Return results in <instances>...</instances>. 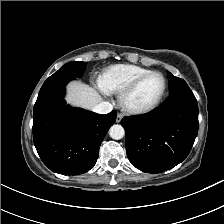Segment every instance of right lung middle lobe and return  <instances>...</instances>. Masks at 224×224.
I'll return each instance as SVG.
<instances>
[{
  "label": "right lung middle lobe",
  "instance_id": "1",
  "mask_svg": "<svg viewBox=\"0 0 224 224\" xmlns=\"http://www.w3.org/2000/svg\"><path fill=\"white\" fill-rule=\"evenodd\" d=\"M85 68V62L74 61L63 65L57 72L54 73V75H69L75 78L81 77Z\"/></svg>",
  "mask_w": 224,
  "mask_h": 224
}]
</instances>
